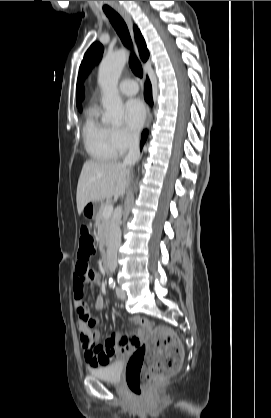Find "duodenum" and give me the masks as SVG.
I'll use <instances>...</instances> for the list:
<instances>
[{
	"mask_svg": "<svg viewBox=\"0 0 271 418\" xmlns=\"http://www.w3.org/2000/svg\"><path fill=\"white\" fill-rule=\"evenodd\" d=\"M102 264H103L104 270H108L109 269L110 260H109V256H108V253L107 252H105L104 255H103Z\"/></svg>",
	"mask_w": 271,
	"mask_h": 418,
	"instance_id": "duodenum-1",
	"label": "duodenum"
}]
</instances>
